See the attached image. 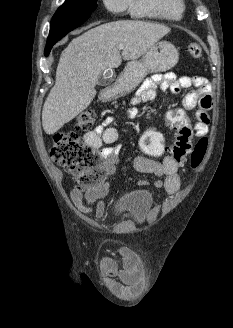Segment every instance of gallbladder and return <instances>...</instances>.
<instances>
[{
    "label": "gallbladder",
    "mask_w": 233,
    "mask_h": 328,
    "mask_svg": "<svg viewBox=\"0 0 233 328\" xmlns=\"http://www.w3.org/2000/svg\"><path fill=\"white\" fill-rule=\"evenodd\" d=\"M99 82L101 84H107V80L105 78H103V77H100Z\"/></svg>",
    "instance_id": "obj_1"
}]
</instances>
